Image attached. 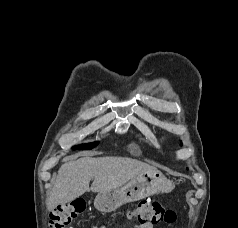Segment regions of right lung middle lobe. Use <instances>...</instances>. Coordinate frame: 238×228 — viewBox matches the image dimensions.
I'll return each instance as SVG.
<instances>
[{"label":"right lung middle lobe","instance_id":"1","mask_svg":"<svg viewBox=\"0 0 238 228\" xmlns=\"http://www.w3.org/2000/svg\"><path fill=\"white\" fill-rule=\"evenodd\" d=\"M98 143H99V142H94V143H91V144H88V145L76 146V147H74L73 149H74V150H75V149H82V150H84V149H92V148H94L95 146H97Z\"/></svg>","mask_w":238,"mask_h":228}]
</instances>
